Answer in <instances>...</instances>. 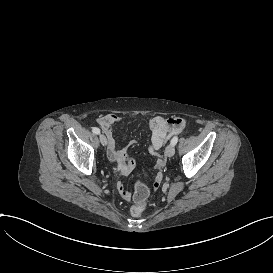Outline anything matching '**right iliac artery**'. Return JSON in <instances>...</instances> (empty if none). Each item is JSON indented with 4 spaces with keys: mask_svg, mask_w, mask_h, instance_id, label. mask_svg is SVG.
Segmentation results:
<instances>
[{
    "mask_svg": "<svg viewBox=\"0 0 273 273\" xmlns=\"http://www.w3.org/2000/svg\"><path fill=\"white\" fill-rule=\"evenodd\" d=\"M92 131H93V133H95V134H100V129L97 128V127H94V128L92 129Z\"/></svg>",
    "mask_w": 273,
    "mask_h": 273,
    "instance_id": "right-iliac-artery-1",
    "label": "right iliac artery"
}]
</instances>
